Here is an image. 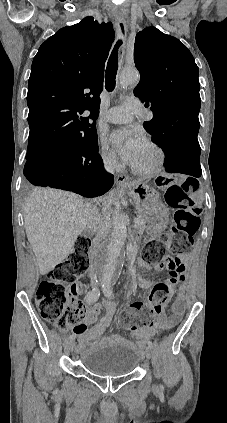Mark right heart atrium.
Here are the masks:
<instances>
[{
  "instance_id": "1",
  "label": "right heart atrium",
  "mask_w": 227,
  "mask_h": 423,
  "mask_svg": "<svg viewBox=\"0 0 227 423\" xmlns=\"http://www.w3.org/2000/svg\"><path fill=\"white\" fill-rule=\"evenodd\" d=\"M99 158L104 168L110 172H116L121 169V164L116 155L107 147L104 141H101L99 147Z\"/></svg>"
}]
</instances>
